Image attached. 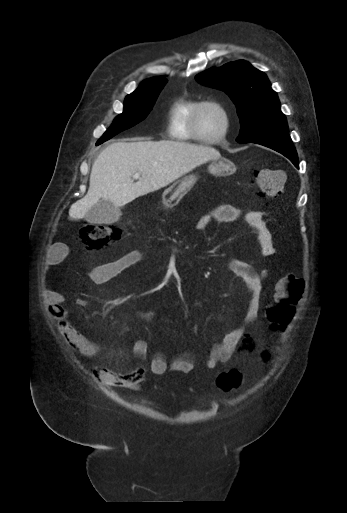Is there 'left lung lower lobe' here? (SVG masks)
Here are the masks:
<instances>
[{
	"label": "left lung lower lobe",
	"instance_id": "left-lung-lower-lobe-1",
	"mask_svg": "<svg viewBox=\"0 0 347 513\" xmlns=\"http://www.w3.org/2000/svg\"><path fill=\"white\" fill-rule=\"evenodd\" d=\"M253 143L269 147L291 160L295 167L299 168L297 152L288 134L272 135L263 139L255 140Z\"/></svg>",
	"mask_w": 347,
	"mask_h": 513
}]
</instances>
